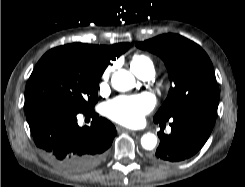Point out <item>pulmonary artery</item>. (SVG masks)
<instances>
[{
  "instance_id": "e3ab8cb5",
  "label": "pulmonary artery",
  "mask_w": 245,
  "mask_h": 187,
  "mask_svg": "<svg viewBox=\"0 0 245 187\" xmlns=\"http://www.w3.org/2000/svg\"><path fill=\"white\" fill-rule=\"evenodd\" d=\"M154 75V69L149 68L146 69L143 73H141L139 76L143 79H150Z\"/></svg>"
}]
</instances>
